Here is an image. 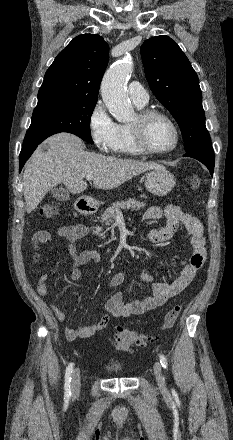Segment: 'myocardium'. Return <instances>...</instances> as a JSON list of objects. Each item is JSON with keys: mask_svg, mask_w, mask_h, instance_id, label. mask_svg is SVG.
Masks as SVG:
<instances>
[{"mask_svg": "<svg viewBox=\"0 0 233 440\" xmlns=\"http://www.w3.org/2000/svg\"><path fill=\"white\" fill-rule=\"evenodd\" d=\"M160 117L166 120L173 129L174 132V143L173 145L165 150H156L150 147L146 139V126L148 122L155 118ZM130 132L132 134L134 143L139 151L147 155H164L174 151L180 141V132L175 121L165 112L157 109H143L137 114V121L135 124L129 125Z\"/></svg>", "mask_w": 233, "mask_h": 440, "instance_id": "f54148a6", "label": "myocardium"}]
</instances>
